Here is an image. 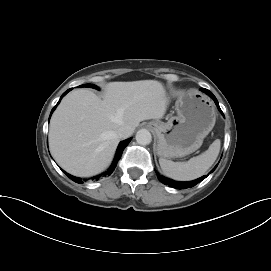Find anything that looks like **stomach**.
<instances>
[{"label": "stomach", "mask_w": 271, "mask_h": 271, "mask_svg": "<svg viewBox=\"0 0 271 271\" xmlns=\"http://www.w3.org/2000/svg\"><path fill=\"white\" fill-rule=\"evenodd\" d=\"M175 110L177 116H171L167 122L149 124L157 136L156 151L161 158L184 157L195 152L216 122L212 101L196 89L181 93Z\"/></svg>", "instance_id": "0dacf381"}]
</instances>
